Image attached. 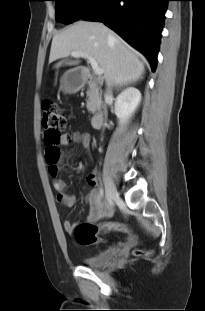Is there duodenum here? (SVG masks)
<instances>
[{
  "label": "duodenum",
  "mask_w": 205,
  "mask_h": 311,
  "mask_svg": "<svg viewBox=\"0 0 205 311\" xmlns=\"http://www.w3.org/2000/svg\"><path fill=\"white\" fill-rule=\"evenodd\" d=\"M76 75L80 78L81 84H94L98 82V79L91 75L86 67H80ZM105 117L106 113L104 110L96 111L91 119L92 125L99 126L104 121Z\"/></svg>",
  "instance_id": "obj_1"
}]
</instances>
